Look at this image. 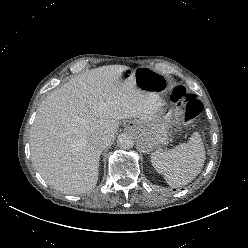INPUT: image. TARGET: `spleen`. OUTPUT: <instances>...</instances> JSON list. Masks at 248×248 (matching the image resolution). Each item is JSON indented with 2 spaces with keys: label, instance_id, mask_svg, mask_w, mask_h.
<instances>
[{
  "label": "spleen",
  "instance_id": "spleen-1",
  "mask_svg": "<svg viewBox=\"0 0 248 248\" xmlns=\"http://www.w3.org/2000/svg\"><path fill=\"white\" fill-rule=\"evenodd\" d=\"M205 156L202 139L195 132L188 143L164 152L155 151L150 157L153 167L164 176L168 185L180 187L191 182L200 173Z\"/></svg>",
  "mask_w": 248,
  "mask_h": 248
}]
</instances>
